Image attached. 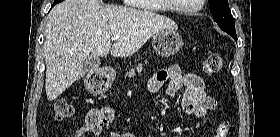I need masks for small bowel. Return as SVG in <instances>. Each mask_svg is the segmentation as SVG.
<instances>
[{"mask_svg": "<svg viewBox=\"0 0 280 137\" xmlns=\"http://www.w3.org/2000/svg\"><path fill=\"white\" fill-rule=\"evenodd\" d=\"M168 84L165 96L173 97L183 89L182 108L186 115L196 118H205L218 108L217 101L208 96L205 91L204 79L196 73H183L178 65H172L167 69L158 70L148 81L147 87L151 92H158L164 84ZM115 111L112 108L92 109L86 116L85 124L79 128L74 137H84L86 133H94L99 136L103 127L115 119ZM229 123L223 120L220 124ZM111 137H133L130 134L111 133ZM182 137V136H177Z\"/></svg>", "mask_w": 280, "mask_h": 137, "instance_id": "1", "label": "small bowel"}]
</instances>
